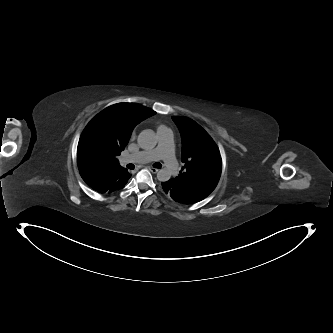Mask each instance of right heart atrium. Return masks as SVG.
<instances>
[{"mask_svg": "<svg viewBox=\"0 0 333 333\" xmlns=\"http://www.w3.org/2000/svg\"><path fill=\"white\" fill-rule=\"evenodd\" d=\"M134 137H135V133L131 132L130 135H129V139L132 140V139H134Z\"/></svg>", "mask_w": 333, "mask_h": 333, "instance_id": "right-heart-atrium-1", "label": "right heart atrium"}]
</instances>
